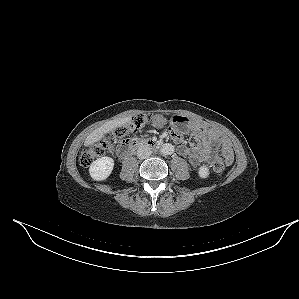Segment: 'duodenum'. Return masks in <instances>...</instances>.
<instances>
[{"mask_svg": "<svg viewBox=\"0 0 299 299\" xmlns=\"http://www.w3.org/2000/svg\"><path fill=\"white\" fill-rule=\"evenodd\" d=\"M139 147L158 149L160 147V143L151 139H132L121 144L118 148V152L120 156L126 157Z\"/></svg>", "mask_w": 299, "mask_h": 299, "instance_id": "obj_1", "label": "duodenum"}]
</instances>
